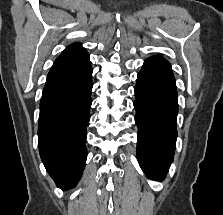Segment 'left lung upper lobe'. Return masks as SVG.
<instances>
[{
	"label": "left lung upper lobe",
	"mask_w": 223,
	"mask_h": 215,
	"mask_svg": "<svg viewBox=\"0 0 223 215\" xmlns=\"http://www.w3.org/2000/svg\"><path fill=\"white\" fill-rule=\"evenodd\" d=\"M148 59H157V60H165V61H167L166 59H164V58H162L160 56H153V57H150Z\"/></svg>",
	"instance_id": "obj_1"
}]
</instances>
